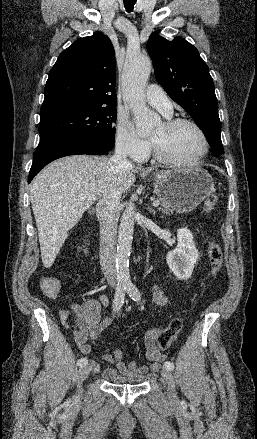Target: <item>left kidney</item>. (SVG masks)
I'll return each instance as SVG.
<instances>
[{
    "instance_id": "left-kidney-1",
    "label": "left kidney",
    "mask_w": 257,
    "mask_h": 439,
    "mask_svg": "<svg viewBox=\"0 0 257 439\" xmlns=\"http://www.w3.org/2000/svg\"><path fill=\"white\" fill-rule=\"evenodd\" d=\"M177 241V247L168 252L166 261L173 274L178 279L185 280L191 277L199 252L189 229H178Z\"/></svg>"
}]
</instances>
